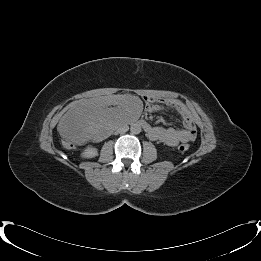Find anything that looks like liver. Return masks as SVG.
<instances>
[{
  "label": "liver",
  "instance_id": "obj_1",
  "mask_svg": "<svg viewBox=\"0 0 261 261\" xmlns=\"http://www.w3.org/2000/svg\"><path fill=\"white\" fill-rule=\"evenodd\" d=\"M138 97H94L77 102L58 124L60 135L75 144L96 137L112 124L132 122L139 115Z\"/></svg>",
  "mask_w": 261,
  "mask_h": 261
}]
</instances>
